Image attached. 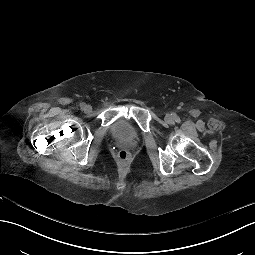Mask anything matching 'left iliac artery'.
I'll return each mask as SVG.
<instances>
[{
  "mask_svg": "<svg viewBox=\"0 0 255 255\" xmlns=\"http://www.w3.org/2000/svg\"><path fill=\"white\" fill-rule=\"evenodd\" d=\"M176 122H180V118L178 116L175 117Z\"/></svg>",
  "mask_w": 255,
  "mask_h": 255,
  "instance_id": "44dca946",
  "label": "left iliac artery"
}]
</instances>
